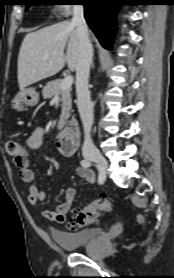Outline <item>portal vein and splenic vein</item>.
<instances>
[{"instance_id":"portal-vein-and-splenic-vein-1","label":"portal vein and splenic vein","mask_w":174,"mask_h":278,"mask_svg":"<svg viewBox=\"0 0 174 278\" xmlns=\"http://www.w3.org/2000/svg\"><path fill=\"white\" fill-rule=\"evenodd\" d=\"M73 84V77L72 76H66L63 81L60 83L61 89H68Z\"/></svg>"}]
</instances>
